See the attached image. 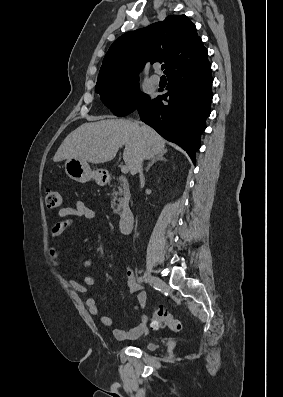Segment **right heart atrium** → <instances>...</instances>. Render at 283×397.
Returning a JSON list of instances; mask_svg holds the SVG:
<instances>
[{
  "instance_id": "d8ad5b80",
  "label": "right heart atrium",
  "mask_w": 283,
  "mask_h": 397,
  "mask_svg": "<svg viewBox=\"0 0 283 397\" xmlns=\"http://www.w3.org/2000/svg\"><path fill=\"white\" fill-rule=\"evenodd\" d=\"M121 98L124 102H131L133 99V91L131 89H125L121 93Z\"/></svg>"
}]
</instances>
